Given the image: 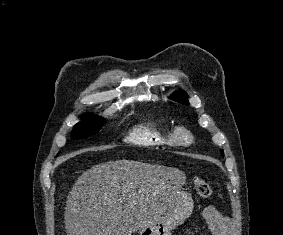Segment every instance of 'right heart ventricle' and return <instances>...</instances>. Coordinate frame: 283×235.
Here are the masks:
<instances>
[{
  "mask_svg": "<svg viewBox=\"0 0 283 235\" xmlns=\"http://www.w3.org/2000/svg\"><path fill=\"white\" fill-rule=\"evenodd\" d=\"M128 141L145 148H160L175 144L173 130L158 122H148L131 130Z\"/></svg>",
  "mask_w": 283,
  "mask_h": 235,
  "instance_id": "right-heart-ventricle-1",
  "label": "right heart ventricle"
}]
</instances>
